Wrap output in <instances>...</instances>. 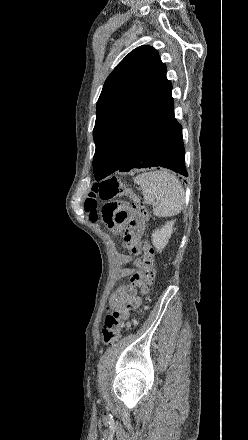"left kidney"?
Masks as SVG:
<instances>
[{"label":"left kidney","mask_w":248,"mask_h":440,"mask_svg":"<svg viewBox=\"0 0 248 440\" xmlns=\"http://www.w3.org/2000/svg\"><path fill=\"white\" fill-rule=\"evenodd\" d=\"M174 221L167 222L161 229H156L152 233V243L160 253L167 245L173 233Z\"/></svg>","instance_id":"1"}]
</instances>
